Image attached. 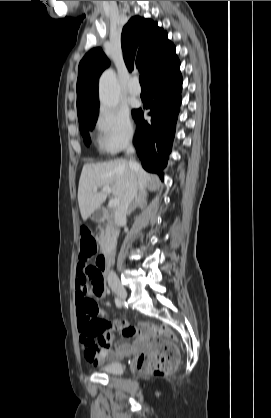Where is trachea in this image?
<instances>
[{
	"label": "trachea",
	"instance_id": "trachea-1",
	"mask_svg": "<svg viewBox=\"0 0 271 418\" xmlns=\"http://www.w3.org/2000/svg\"><path fill=\"white\" fill-rule=\"evenodd\" d=\"M139 82H140V85H141V86H144V79H143V76H140V77H139Z\"/></svg>",
	"mask_w": 271,
	"mask_h": 418
}]
</instances>
